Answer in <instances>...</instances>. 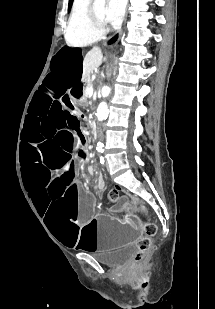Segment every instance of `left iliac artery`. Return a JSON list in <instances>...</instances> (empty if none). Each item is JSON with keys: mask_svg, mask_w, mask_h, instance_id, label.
<instances>
[{"mask_svg": "<svg viewBox=\"0 0 215 309\" xmlns=\"http://www.w3.org/2000/svg\"><path fill=\"white\" fill-rule=\"evenodd\" d=\"M100 162L104 164V158L102 156L100 157Z\"/></svg>", "mask_w": 215, "mask_h": 309, "instance_id": "1", "label": "left iliac artery"}]
</instances>
